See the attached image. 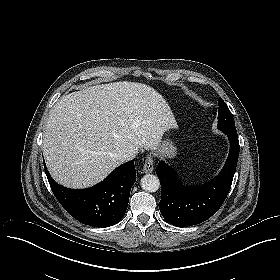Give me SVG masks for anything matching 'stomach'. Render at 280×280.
Listing matches in <instances>:
<instances>
[{
    "label": "stomach",
    "mask_w": 280,
    "mask_h": 280,
    "mask_svg": "<svg viewBox=\"0 0 280 280\" xmlns=\"http://www.w3.org/2000/svg\"><path fill=\"white\" fill-rule=\"evenodd\" d=\"M177 148L174 146L173 142L169 139H163L160 142L159 148L153 152L155 156L161 158L171 159L176 156Z\"/></svg>",
    "instance_id": "1"
}]
</instances>
